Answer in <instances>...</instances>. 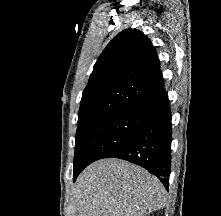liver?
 Instances as JSON below:
<instances>
[{
    "label": "liver",
    "instance_id": "obj_1",
    "mask_svg": "<svg viewBox=\"0 0 221 216\" xmlns=\"http://www.w3.org/2000/svg\"><path fill=\"white\" fill-rule=\"evenodd\" d=\"M79 216H146L165 207L167 192L145 169L120 159H102L78 177Z\"/></svg>",
    "mask_w": 221,
    "mask_h": 216
}]
</instances>
